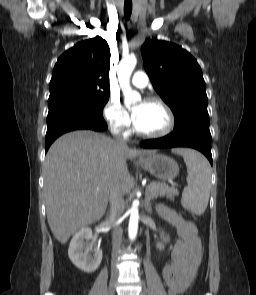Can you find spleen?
Masks as SVG:
<instances>
[{"label": "spleen", "mask_w": 256, "mask_h": 295, "mask_svg": "<svg viewBox=\"0 0 256 295\" xmlns=\"http://www.w3.org/2000/svg\"><path fill=\"white\" fill-rule=\"evenodd\" d=\"M176 152L183 156L188 172V186L182 193L181 205L196 215H202L210 197V164L201 153L195 150L179 148Z\"/></svg>", "instance_id": "3e777b00"}]
</instances>
